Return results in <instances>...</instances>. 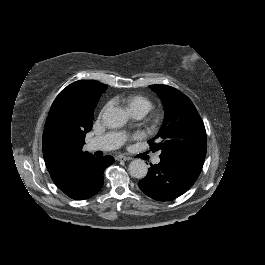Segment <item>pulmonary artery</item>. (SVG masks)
Here are the masks:
<instances>
[{"mask_svg":"<svg viewBox=\"0 0 265 265\" xmlns=\"http://www.w3.org/2000/svg\"><path fill=\"white\" fill-rule=\"evenodd\" d=\"M136 118H142V114L135 115ZM125 141V136L121 132H107L91 142V150L111 151L119 148ZM160 157L157 155L153 158V163H159Z\"/></svg>","mask_w":265,"mask_h":265,"instance_id":"e3ab8cb5","label":"pulmonary artery"}]
</instances>
